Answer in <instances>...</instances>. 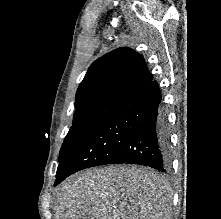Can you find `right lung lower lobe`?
<instances>
[{
  "label": "right lung lower lobe",
  "mask_w": 221,
  "mask_h": 219,
  "mask_svg": "<svg viewBox=\"0 0 221 219\" xmlns=\"http://www.w3.org/2000/svg\"><path fill=\"white\" fill-rule=\"evenodd\" d=\"M170 136L161 92L151 81L127 95L95 131L60 162L56 186L69 175L105 164H139L167 172Z\"/></svg>",
  "instance_id": "1"
}]
</instances>
